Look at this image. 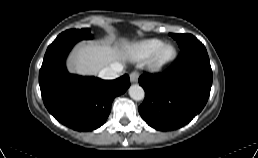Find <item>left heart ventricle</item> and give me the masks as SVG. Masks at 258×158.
Returning <instances> with one entry per match:
<instances>
[{
	"label": "left heart ventricle",
	"mask_w": 258,
	"mask_h": 158,
	"mask_svg": "<svg viewBox=\"0 0 258 158\" xmlns=\"http://www.w3.org/2000/svg\"><path fill=\"white\" fill-rule=\"evenodd\" d=\"M170 54H171V48H166V49L163 51L162 56H163V57H166V56H168V55H170Z\"/></svg>",
	"instance_id": "obj_1"
}]
</instances>
